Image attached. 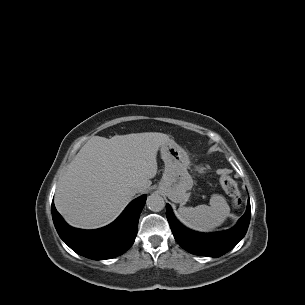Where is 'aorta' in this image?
I'll return each mask as SVG.
<instances>
[{
    "mask_svg": "<svg viewBox=\"0 0 305 305\" xmlns=\"http://www.w3.org/2000/svg\"><path fill=\"white\" fill-rule=\"evenodd\" d=\"M146 205L149 208V210L153 212H159L164 209L165 207V202L163 197H161L158 194H151L148 196Z\"/></svg>",
    "mask_w": 305,
    "mask_h": 305,
    "instance_id": "1",
    "label": "aorta"
}]
</instances>
